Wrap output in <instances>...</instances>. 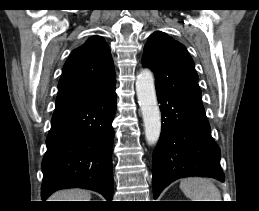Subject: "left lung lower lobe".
I'll return each instance as SVG.
<instances>
[{
	"label": "left lung lower lobe",
	"mask_w": 259,
	"mask_h": 211,
	"mask_svg": "<svg viewBox=\"0 0 259 211\" xmlns=\"http://www.w3.org/2000/svg\"><path fill=\"white\" fill-rule=\"evenodd\" d=\"M162 130L153 153V191H161L176 179L209 176L224 181L220 148L211 136L201 99L156 89Z\"/></svg>",
	"instance_id": "obj_1"
}]
</instances>
